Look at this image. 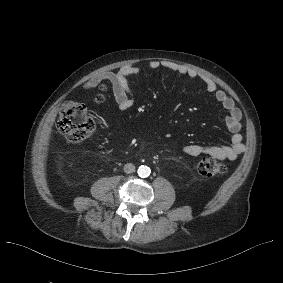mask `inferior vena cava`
<instances>
[{"mask_svg": "<svg viewBox=\"0 0 283 283\" xmlns=\"http://www.w3.org/2000/svg\"><path fill=\"white\" fill-rule=\"evenodd\" d=\"M135 171V166L132 163H128L124 165L125 173H133Z\"/></svg>", "mask_w": 283, "mask_h": 283, "instance_id": "1", "label": "inferior vena cava"}]
</instances>
